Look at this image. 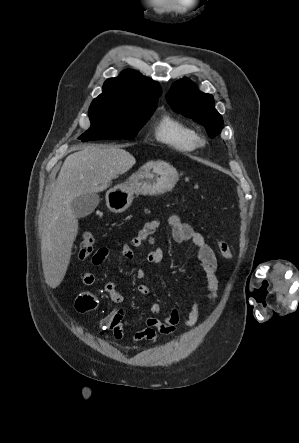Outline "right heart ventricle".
<instances>
[{"instance_id":"e07e8e85","label":"right heart ventricle","mask_w":299,"mask_h":443,"mask_svg":"<svg viewBox=\"0 0 299 443\" xmlns=\"http://www.w3.org/2000/svg\"><path fill=\"white\" fill-rule=\"evenodd\" d=\"M155 139L178 152H193L199 144L196 130L185 121L165 114L156 123Z\"/></svg>"}]
</instances>
